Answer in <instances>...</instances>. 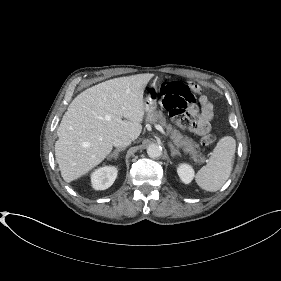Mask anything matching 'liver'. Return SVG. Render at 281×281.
Listing matches in <instances>:
<instances>
[{
    "label": "liver",
    "instance_id": "1",
    "mask_svg": "<svg viewBox=\"0 0 281 281\" xmlns=\"http://www.w3.org/2000/svg\"><path fill=\"white\" fill-rule=\"evenodd\" d=\"M147 74L120 77L80 93L68 106L57 130L55 158L66 182L99 165L120 136L136 140L145 114ZM124 118V120L122 119Z\"/></svg>",
    "mask_w": 281,
    "mask_h": 281
}]
</instances>
